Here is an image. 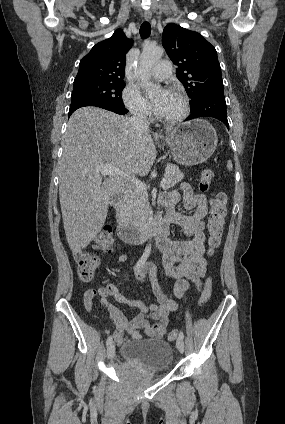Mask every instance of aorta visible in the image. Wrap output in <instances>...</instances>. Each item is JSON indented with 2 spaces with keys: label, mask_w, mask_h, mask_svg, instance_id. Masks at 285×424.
Here are the masks:
<instances>
[{
  "label": "aorta",
  "mask_w": 285,
  "mask_h": 424,
  "mask_svg": "<svg viewBox=\"0 0 285 424\" xmlns=\"http://www.w3.org/2000/svg\"><path fill=\"white\" fill-rule=\"evenodd\" d=\"M163 53L164 49L159 46L145 47L141 53L138 74L141 87L148 92L159 91V86L154 85L150 80V70L161 59Z\"/></svg>",
  "instance_id": "aorta-1"
}]
</instances>
